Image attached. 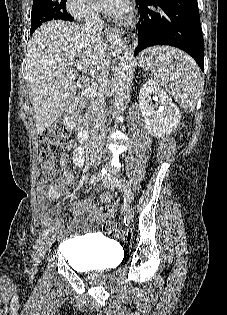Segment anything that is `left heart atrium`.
I'll use <instances>...</instances> for the list:
<instances>
[{
    "instance_id": "obj_1",
    "label": "left heart atrium",
    "mask_w": 227,
    "mask_h": 315,
    "mask_svg": "<svg viewBox=\"0 0 227 315\" xmlns=\"http://www.w3.org/2000/svg\"><path fill=\"white\" fill-rule=\"evenodd\" d=\"M100 9L110 18L121 20L129 10L128 0H98Z\"/></svg>"
}]
</instances>
